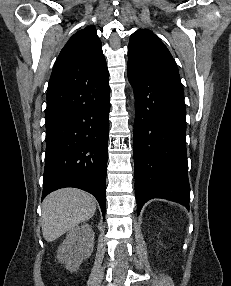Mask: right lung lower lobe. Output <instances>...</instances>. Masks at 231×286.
<instances>
[{
	"label": "right lung lower lobe",
	"mask_w": 231,
	"mask_h": 286,
	"mask_svg": "<svg viewBox=\"0 0 231 286\" xmlns=\"http://www.w3.org/2000/svg\"><path fill=\"white\" fill-rule=\"evenodd\" d=\"M109 73L81 82L46 109L44 198L63 187L95 196L105 217L110 110Z\"/></svg>",
	"instance_id": "obj_1"
}]
</instances>
